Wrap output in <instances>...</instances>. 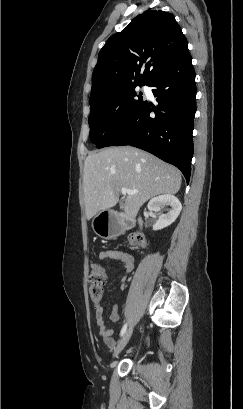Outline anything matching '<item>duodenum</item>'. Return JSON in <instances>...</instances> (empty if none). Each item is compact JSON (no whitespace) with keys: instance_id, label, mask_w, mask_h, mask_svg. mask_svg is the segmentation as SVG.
Wrapping results in <instances>:
<instances>
[{"instance_id":"obj_1","label":"duodenum","mask_w":243,"mask_h":409,"mask_svg":"<svg viewBox=\"0 0 243 409\" xmlns=\"http://www.w3.org/2000/svg\"><path fill=\"white\" fill-rule=\"evenodd\" d=\"M132 222L141 223V220L139 218L133 219V220H130L128 218H124L123 221H122L123 225H126V226L131 224Z\"/></svg>"}]
</instances>
